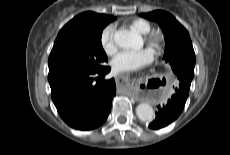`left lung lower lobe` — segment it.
<instances>
[{
  "label": "left lung lower lobe",
  "instance_id": "0a47b994",
  "mask_svg": "<svg viewBox=\"0 0 230 155\" xmlns=\"http://www.w3.org/2000/svg\"><path fill=\"white\" fill-rule=\"evenodd\" d=\"M190 85L191 80L179 79V85L175 86L174 94L168 99L166 105L158 106L156 118L149 124L151 129L163 128L178 118L184 109Z\"/></svg>",
  "mask_w": 230,
  "mask_h": 155
}]
</instances>
